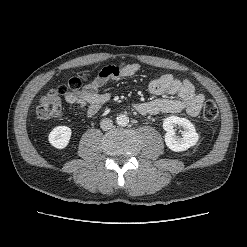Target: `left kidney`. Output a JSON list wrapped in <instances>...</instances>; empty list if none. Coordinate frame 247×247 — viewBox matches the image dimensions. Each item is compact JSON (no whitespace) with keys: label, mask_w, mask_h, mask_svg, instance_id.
I'll list each match as a JSON object with an SVG mask.
<instances>
[{"label":"left kidney","mask_w":247,"mask_h":247,"mask_svg":"<svg viewBox=\"0 0 247 247\" xmlns=\"http://www.w3.org/2000/svg\"><path fill=\"white\" fill-rule=\"evenodd\" d=\"M178 125L183 128L182 137L176 136L174 127ZM163 129L166 131L165 143L174 152L185 151L196 145L199 136L194 125L186 118L170 116L164 119Z\"/></svg>","instance_id":"1"}]
</instances>
